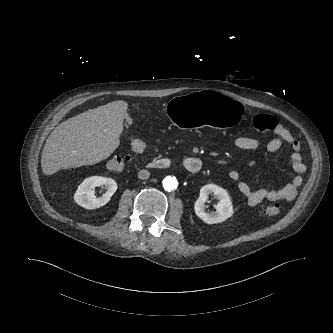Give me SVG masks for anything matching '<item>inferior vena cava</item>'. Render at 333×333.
<instances>
[{
	"instance_id": "1",
	"label": "inferior vena cava",
	"mask_w": 333,
	"mask_h": 333,
	"mask_svg": "<svg viewBox=\"0 0 333 333\" xmlns=\"http://www.w3.org/2000/svg\"><path fill=\"white\" fill-rule=\"evenodd\" d=\"M149 176H150V172L148 170H140L138 172L139 179L145 180V179H148Z\"/></svg>"
}]
</instances>
